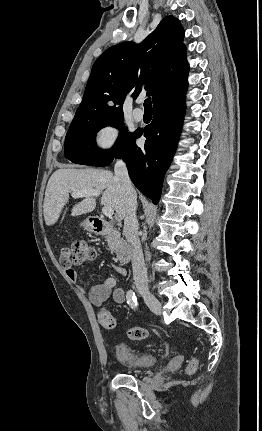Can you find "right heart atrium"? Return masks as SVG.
<instances>
[{"mask_svg": "<svg viewBox=\"0 0 262 431\" xmlns=\"http://www.w3.org/2000/svg\"><path fill=\"white\" fill-rule=\"evenodd\" d=\"M120 130L116 123L106 122L100 125L93 136L94 148L99 152L111 151L119 141Z\"/></svg>", "mask_w": 262, "mask_h": 431, "instance_id": "1", "label": "right heart atrium"}]
</instances>
